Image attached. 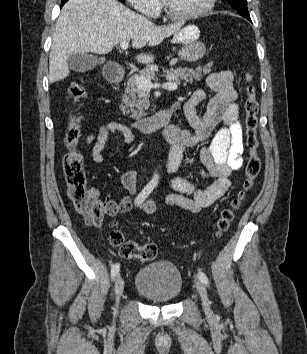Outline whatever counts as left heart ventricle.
Masks as SVG:
<instances>
[{
    "label": "left heart ventricle",
    "instance_id": "b2bd125f",
    "mask_svg": "<svg viewBox=\"0 0 307 354\" xmlns=\"http://www.w3.org/2000/svg\"><path fill=\"white\" fill-rule=\"evenodd\" d=\"M166 5L177 14H186L201 9L207 0H164Z\"/></svg>",
    "mask_w": 307,
    "mask_h": 354
}]
</instances>
